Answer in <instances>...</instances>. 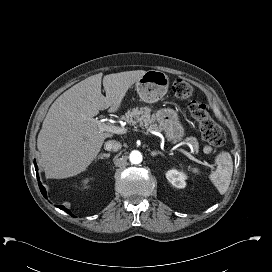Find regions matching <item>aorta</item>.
Instances as JSON below:
<instances>
[{
	"instance_id": "1",
	"label": "aorta",
	"mask_w": 272,
	"mask_h": 272,
	"mask_svg": "<svg viewBox=\"0 0 272 272\" xmlns=\"http://www.w3.org/2000/svg\"><path fill=\"white\" fill-rule=\"evenodd\" d=\"M129 160L132 164H139L142 162V154L139 151L134 150L130 153Z\"/></svg>"
}]
</instances>
